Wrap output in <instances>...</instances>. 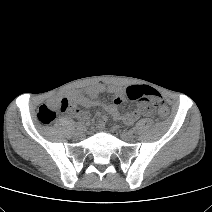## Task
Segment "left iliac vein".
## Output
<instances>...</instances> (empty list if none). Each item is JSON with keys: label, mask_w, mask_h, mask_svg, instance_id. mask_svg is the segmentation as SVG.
Listing matches in <instances>:
<instances>
[{"label": "left iliac vein", "mask_w": 212, "mask_h": 212, "mask_svg": "<svg viewBox=\"0 0 212 212\" xmlns=\"http://www.w3.org/2000/svg\"><path fill=\"white\" fill-rule=\"evenodd\" d=\"M121 138L124 141L130 142V141H133L134 140L135 135L131 131H123L121 133Z\"/></svg>", "instance_id": "left-iliac-vein-1"}]
</instances>
